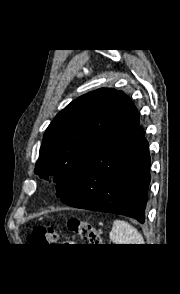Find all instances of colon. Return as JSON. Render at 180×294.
Segmentation results:
<instances>
[{
	"instance_id": "colon-1",
	"label": "colon",
	"mask_w": 180,
	"mask_h": 294,
	"mask_svg": "<svg viewBox=\"0 0 180 294\" xmlns=\"http://www.w3.org/2000/svg\"><path fill=\"white\" fill-rule=\"evenodd\" d=\"M66 227L88 241L90 245L99 246L102 244L100 232L87 221L70 218L66 221ZM27 240L33 244L53 245L58 240V233L54 227H38L28 235Z\"/></svg>"
}]
</instances>
